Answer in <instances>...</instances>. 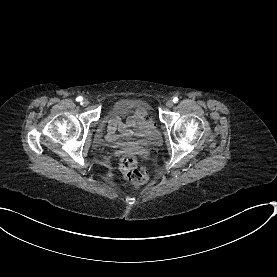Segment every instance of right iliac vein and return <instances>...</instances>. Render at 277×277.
<instances>
[{
  "label": "right iliac vein",
  "instance_id": "obj_1",
  "mask_svg": "<svg viewBox=\"0 0 277 277\" xmlns=\"http://www.w3.org/2000/svg\"><path fill=\"white\" fill-rule=\"evenodd\" d=\"M88 100L87 99H84L82 102H81V104L83 105V106H87L88 105Z\"/></svg>",
  "mask_w": 277,
  "mask_h": 277
}]
</instances>
